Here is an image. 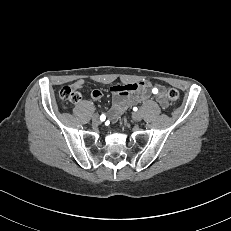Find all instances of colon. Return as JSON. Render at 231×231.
I'll list each match as a JSON object with an SVG mask.
<instances>
[{"instance_id":"colon-1","label":"colon","mask_w":231,"mask_h":231,"mask_svg":"<svg viewBox=\"0 0 231 231\" xmlns=\"http://www.w3.org/2000/svg\"><path fill=\"white\" fill-rule=\"evenodd\" d=\"M168 99L172 102H175L179 99V92L174 88H169L166 93ZM60 97L67 103L75 104L79 102L82 98L81 93L71 86H66L60 91Z\"/></svg>"}]
</instances>
